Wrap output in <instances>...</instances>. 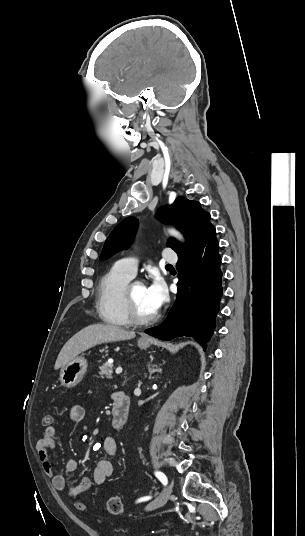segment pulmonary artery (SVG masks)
<instances>
[{"label":"pulmonary artery","mask_w":305,"mask_h":536,"mask_svg":"<svg viewBox=\"0 0 305 536\" xmlns=\"http://www.w3.org/2000/svg\"><path fill=\"white\" fill-rule=\"evenodd\" d=\"M164 253L165 255L162 257L164 262L173 264L178 261V256L173 254V250L169 246L164 248ZM137 264L138 263L135 259L125 258L119 260L116 263V267L130 278H134L137 272Z\"/></svg>","instance_id":"e3ab8cb5"}]
</instances>
